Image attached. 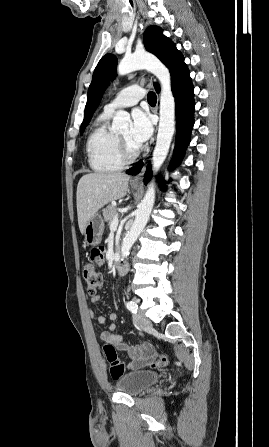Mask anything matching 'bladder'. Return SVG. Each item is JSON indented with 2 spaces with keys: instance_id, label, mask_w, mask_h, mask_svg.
<instances>
[{
  "instance_id": "obj_1",
  "label": "bladder",
  "mask_w": 269,
  "mask_h": 447,
  "mask_svg": "<svg viewBox=\"0 0 269 447\" xmlns=\"http://www.w3.org/2000/svg\"><path fill=\"white\" fill-rule=\"evenodd\" d=\"M161 378V373L154 370H135L120 373L115 390L121 394L138 395L143 388L154 386Z\"/></svg>"
}]
</instances>
